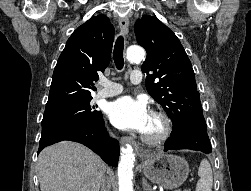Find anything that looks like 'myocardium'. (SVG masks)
<instances>
[{
  "mask_svg": "<svg viewBox=\"0 0 251 191\" xmlns=\"http://www.w3.org/2000/svg\"><path fill=\"white\" fill-rule=\"evenodd\" d=\"M151 119L158 123V130L154 134L143 132L142 141L148 145H159L165 142L171 134L170 119L163 113L153 112Z\"/></svg>",
  "mask_w": 251,
  "mask_h": 191,
  "instance_id": "f54148a6",
  "label": "myocardium"
}]
</instances>
